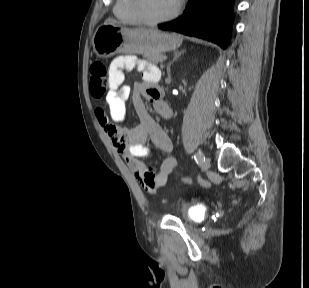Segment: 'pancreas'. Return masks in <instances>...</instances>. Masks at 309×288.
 <instances>
[{
	"label": "pancreas",
	"mask_w": 309,
	"mask_h": 288,
	"mask_svg": "<svg viewBox=\"0 0 309 288\" xmlns=\"http://www.w3.org/2000/svg\"><path fill=\"white\" fill-rule=\"evenodd\" d=\"M164 58L165 56L163 54H155L147 56L148 61L153 64L162 63Z\"/></svg>",
	"instance_id": "1"
}]
</instances>
